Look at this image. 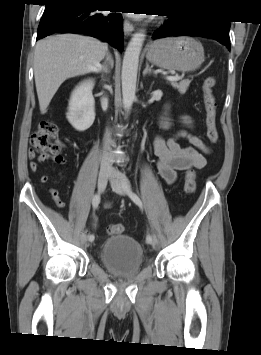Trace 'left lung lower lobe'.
Returning <instances> with one entry per match:
<instances>
[{
  "mask_svg": "<svg viewBox=\"0 0 261 355\" xmlns=\"http://www.w3.org/2000/svg\"><path fill=\"white\" fill-rule=\"evenodd\" d=\"M230 21L169 15L168 21L154 33L153 38L169 36H200L224 44L230 50Z\"/></svg>",
  "mask_w": 261,
  "mask_h": 355,
  "instance_id": "left-lung-lower-lobe-1",
  "label": "left lung lower lobe"
}]
</instances>
